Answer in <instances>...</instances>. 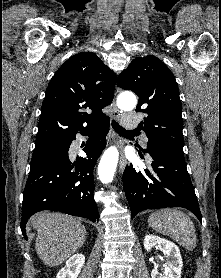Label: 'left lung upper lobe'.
Wrapping results in <instances>:
<instances>
[{"mask_svg": "<svg viewBox=\"0 0 221 278\" xmlns=\"http://www.w3.org/2000/svg\"><path fill=\"white\" fill-rule=\"evenodd\" d=\"M117 86L135 92L139 97L136 111L146 114L140 127L149 139L147 148L136 144L142 152L158 144L183 146L179 89L162 61L154 56L135 58L118 76Z\"/></svg>", "mask_w": 221, "mask_h": 278, "instance_id": "5c2ea615", "label": "left lung upper lobe"}]
</instances>
